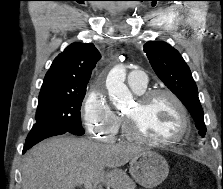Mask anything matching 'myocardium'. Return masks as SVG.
I'll use <instances>...</instances> for the list:
<instances>
[{
  "instance_id": "myocardium-1",
  "label": "myocardium",
  "mask_w": 223,
  "mask_h": 189,
  "mask_svg": "<svg viewBox=\"0 0 223 189\" xmlns=\"http://www.w3.org/2000/svg\"><path fill=\"white\" fill-rule=\"evenodd\" d=\"M161 96L170 98L180 112L181 128L178 135L170 139H155L147 137L138 131L134 118L129 115H125L124 117L125 133L130 139H132L135 142L143 144L156 145V146H170L177 144L187 136L190 130V115L183 101L174 92L166 89H153L145 91L138 96L137 103L143 107L152 100Z\"/></svg>"
}]
</instances>
